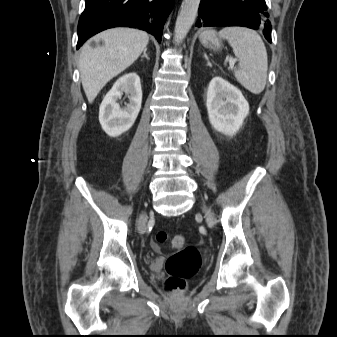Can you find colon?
<instances>
[{
  "instance_id": "5ec220e1",
  "label": "colon",
  "mask_w": 337,
  "mask_h": 337,
  "mask_svg": "<svg viewBox=\"0 0 337 337\" xmlns=\"http://www.w3.org/2000/svg\"><path fill=\"white\" fill-rule=\"evenodd\" d=\"M167 239L168 235L164 231H159L155 236L157 244H163ZM171 244L177 251L166 261L165 287L168 291L183 290L186 281L198 272L201 266V256L197 248L186 246L182 235L173 236Z\"/></svg>"
}]
</instances>
